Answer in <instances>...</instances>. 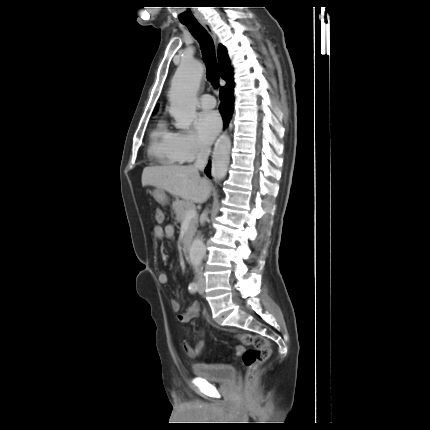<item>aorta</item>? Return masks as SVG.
Returning a JSON list of instances; mask_svg holds the SVG:
<instances>
[{
    "label": "aorta",
    "instance_id": "aorta-1",
    "mask_svg": "<svg viewBox=\"0 0 430 430\" xmlns=\"http://www.w3.org/2000/svg\"><path fill=\"white\" fill-rule=\"evenodd\" d=\"M203 76V66L197 60H186L177 69L169 91L170 114L178 129H188L196 119V95ZM231 139L222 134L216 141L211 164L215 180L225 178L230 161ZM206 254L202 237L197 236L189 248V261L198 271Z\"/></svg>",
    "mask_w": 430,
    "mask_h": 430
}]
</instances>
